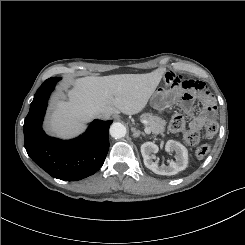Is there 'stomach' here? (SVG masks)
<instances>
[{
    "mask_svg": "<svg viewBox=\"0 0 245 245\" xmlns=\"http://www.w3.org/2000/svg\"><path fill=\"white\" fill-rule=\"evenodd\" d=\"M175 98L172 94L170 88L167 85L163 84L154 91L150 99L151 106L158 110L159 112L164 111L171 104H173Z\"/></svg>",
    "mask_w": 245,
    "mask_h": 245,
    "instance_id": "obj_1",
    "label": "stomach"
}]
</instances>
